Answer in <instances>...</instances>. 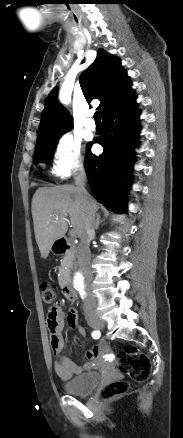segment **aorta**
<instances>
[{"mask_svg":"<svg viewBox=\"0 0 183 438\" xmlns=\"http://www.w3.org/2000/svg\"><path fill=\"white\" fill-rule=\"evenodd\" d=\"M72 286L79 292L81 296L87 291V282L85 276L81 270H75L71 277Z\"/></svg>","mask_w":183,"mask_h":438,"instance_id":"aorta-1","label":"aorta"}]
</instances>
